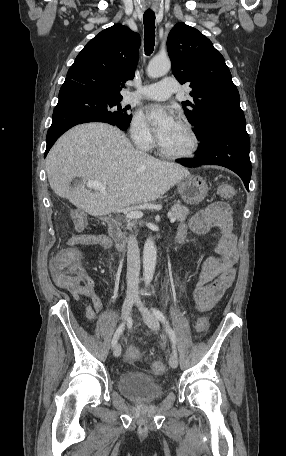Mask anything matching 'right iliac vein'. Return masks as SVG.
<instances>
[{"label": "right iliac vein", "instance_id": "1", "mask_svg": "<svg viewBox=\"0 0 286 456\" xmlns=\"http://www.w3.org/2000/svg\"><path fill=\"white\" fill-rule=\"evenodd\" d=\"M135 298L132 297V296H127L124 300V303H123V306H122V319L123 321H127L129 316H130V313H131V310H132V307H133V304L135 303ZM121 345L120 344H117L115 345L114 347V351H113V354L115 357H118L121 355Z\"/></svg>", "mask_w": 286, "mask_h": 456}]
</instances>
